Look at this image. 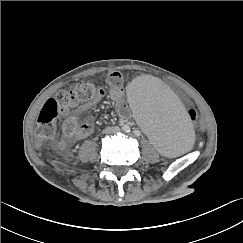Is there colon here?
Segmentation results:
<instances>
[{
	"label": "colon",
	"mask_w": 243,
	"mask_h": 243,
	"mask_svg": "<svg viewBox=\"0 0 243 243\" xmlns=\"http://www.w3.org/2000/svg\"><path fill=\"white\" fill-rule=\"evenodd\" d=\"M97 88L93 83L82 81L75 86L60 90L55 97L47 100L40 110L38 123L36 127V140L40 146L44 142L53 139L56 133V119L60 113H64L69 109L77 106L82 102H89L98 97ZM190 119L195 125V130H202L199 113L192 104L187 106ZM63 149L64 144H60Z\"/></svg>",
	"instance_id": "colon-1"
}]
</instances>
